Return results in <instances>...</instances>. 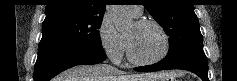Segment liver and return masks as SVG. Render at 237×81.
<instances>
[{
	"label": "liver",
	"mask_w": 237,
	"mask_h": 81,
	"mask_svg": "<svg viewBox=\"0 0 237 81\" xmlns=\"http://www.w3.org/2000/svg\"><path fill=\"white\" fill-rule=\"evenodd\" d=\"M161 73L125 74L106 64L78 65L61 73L56 81H151Z\"/></svg>",
	"instance_id": "1"
}]
</instances>
